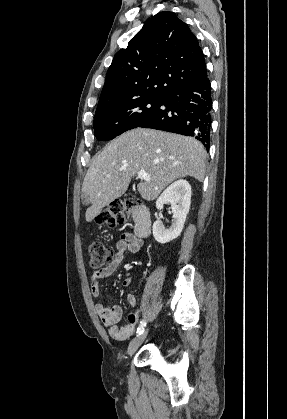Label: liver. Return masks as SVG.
<instances>
[{"mask_svg": "<svg viewBox=\"0 0 287 419\" xmlns=\"http://www.w3.org/2000/svg\"><path fill=\"white\" fill-rule=\"evenodd\" d=\"M205 159L204 146L192 137L145 128L125 132L103 148L86 173L82 185L83 203L90 205L86 221L121 197L140 170L150 181H141L138 191L151 201L176 179L191 176L202 182Z\"/></svg>", "mask_w": 287, "mask_h": 419, "instance_id": "obj_1", "label": "liver"}]
</instances>
